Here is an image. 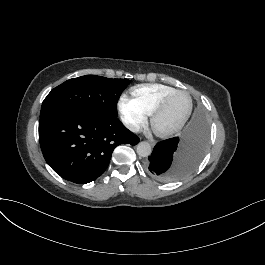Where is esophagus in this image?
Segmentation results:
<instances>
[{
	"instance_id": "34e87169",
	"label": "esophagus",
	"mask_w": 265,
	"mask_h": 265,
	"mask_svg": "<svg viewBox=\"0 0 265 265\" xmlns=\"http://www.w3.org/2000/svg\"><path fill=\"white\" fill-rule=\"evenodd\" d=\"M150 144H151L152 146H154V145L156 144V142H155L154 140H150Z\"/></svg>"
}]
</instances>
